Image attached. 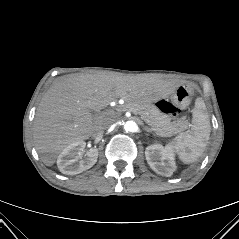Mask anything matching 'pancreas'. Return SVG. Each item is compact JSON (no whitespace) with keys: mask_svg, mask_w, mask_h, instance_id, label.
I'll list each match as a JSON object with an SVG mask.
<instances>
[{"mask_svg":"<svg viewBox=\"0 0 239 239\" xmlns=\"http://www.w3.org/2000/svg\"><path fill=\"white\" fill-rule=\"evenodd\" d=\"M126 108L139 114L151 126V129L161 137H172L188 127L185 117L171 121L155 105L149 103H126Z\"/></svg>","mask_w":239,"mask_h":239,"instance_id":"cf45deb5","label":"pancreas"}]
</instances>
